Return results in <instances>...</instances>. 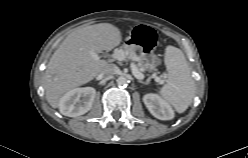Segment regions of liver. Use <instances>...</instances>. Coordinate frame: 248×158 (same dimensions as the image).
Instances as JSON below:
<instances>
[{
    "label": "liver",
    "instance_id": "obj_1",
    "mask_svg": "<svg viewBox=\"0 0 248 158\" xmlns=\"http://www.w3.org/2000/svg\"><path fill=\"white\" fill-rule=\"evenodd\" d=\"M122 40L121 32L109 23L80 27L71 32L49 60L43 87L48 103L57 108L62 96L93 80L108 64L92 53L111 50Z\"/></svg>",
    "mask_w": 248,
    "mask_h": 158
}]
</instances>
